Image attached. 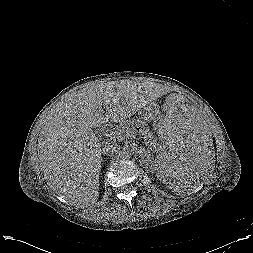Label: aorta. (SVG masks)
Listing matches in <instances>:
<instances>
[{
	"label": "aorta",
	"instance_id": "aorta-1",
	"mask_svg": "<svg viewBox=\"0 0 253 253\" xmlns=\"http://www.w3.org/2000/svg\"><path fill=\"white\" fill-rule=\"evenodd\" d=\"M118 156L121 158V159H129L131 157V151L128 147H121L119 150H118Z\"/></svg>",
	"mask_w": 253,
	"mask_h": 253
}]
</instances>
